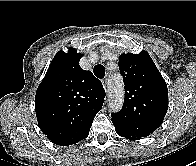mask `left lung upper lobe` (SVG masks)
Here are the masks:
<instances>
[{"instance_id": "left-lung-upper-lobe-1", "label": "left lung upper lobe", "mask_w": 196, "mask_h": 166, "mask_svg": "<svg viewBox=\"0 0 196 166\" xmlns=\"http://www.w3.org/2000/svg\"><path fill=\"white\" fill-rule=\"evenodd\" d=\"M125 85L122 110L112 113L115 127L137 137L153 133L168 109L165 80L146 51L122 54L118 62Z\"/></svg>"}]
</instances>
